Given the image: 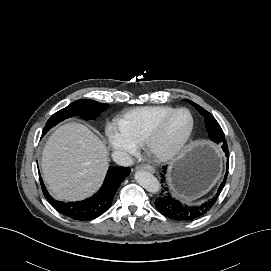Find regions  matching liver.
<instances>
[{
    "mask_svg": "<svg viewBox=\"0 0 271 271\" xmlns=\"http://www.w3.org/2000/svg\"><path fill=\"white\" fill-rule=\"evenodd\" d=\"M108 149L79 123L60 126L49 137L42 154V171L57 200L84 199L98 190L108 170Z\"/></svg>",
    "mask_w": 271,
    "mask_h": 271,
    "instance_id": "obj_1",
    "label": "liver"
}]
</instances>
